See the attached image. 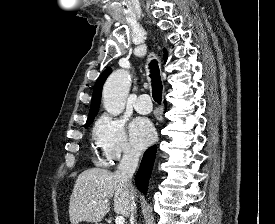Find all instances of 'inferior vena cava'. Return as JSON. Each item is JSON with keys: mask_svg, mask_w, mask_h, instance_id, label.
<instances>
[{"mask_svg": "<svg viewBox=\"0 0 275 224\" xmlns=\"http://www.w3.org/2000/svg\"><path fill=\"white\" fill-rule=\"evenodd\" d=\"M139 157H140L139 151L132 148L125 149L123 157L118 165V170H117V173L121 177V180L125 183L126 187L130 191L129 217H130L131 224H135V216H136L134 188H133L131 179L137 168Z\"/></svg>", "mask_w": 275, "mask_h": 224, "instance_id": "obj_1", "label": "inferior vena cava"}]
</instances>
